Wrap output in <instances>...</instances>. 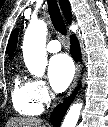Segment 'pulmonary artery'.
<instances>
[{"label":"pulmonary artery","instance_id":"e3ab8cb5","mask_svg":"<svg viewBox=\"0 0 108 127\" xmlns=\"http://www.w3.org/2000/svg\"><path fill=\"white\" fill-rule=\"evenodd\" d=\"M46 49L50 53H57L61 50V44L58 40H51L47 44Z\"/></svg>","mask_w":108,"mask_h":127}]
</instances>
